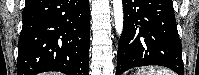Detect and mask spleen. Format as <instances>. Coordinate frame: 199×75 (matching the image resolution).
<instances>
[{"label": "spleen", "mask_w": 199, "mask_h": 75, "mask_svg": "<svg viewBox=\"0 0 199 75\" xmlns=\"http://www.w3.org/2000/svg\"><path fill=\"white\" fill-rule=\"evenodd\" d=\"M136 75H175L172 71L165 68L146 67L140 69Z\"/></svg>", "instance_id": "3e777b00"}]
</instances>
